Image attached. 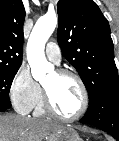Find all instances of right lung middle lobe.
Returning <instances> with one entry per match:
<instances>
[{
  "label": "right lung middle lobe",
  "mask_w": 119,
  "mask_h": 141,
  "mask_svg": "<svg viewBox=\"0 0 119 141\" xmlns=\"http://www.w3.org/2000/svg\"><path fill=\"white\" fill-rule=\"evenodd\" d=\"M20 66H0V104L11 106L9 90Z\"/></svg>",
  "instance_id": "1"
}]
</instances>
